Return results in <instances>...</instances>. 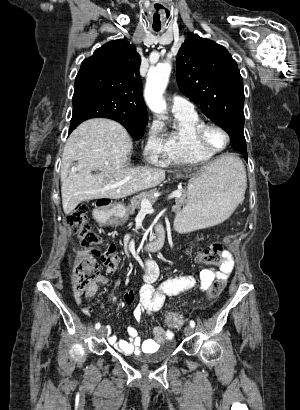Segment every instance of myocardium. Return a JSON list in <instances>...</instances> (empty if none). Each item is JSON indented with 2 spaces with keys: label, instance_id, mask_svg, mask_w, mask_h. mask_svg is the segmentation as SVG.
I'll list each match as a JSON object with an SVG mask.
<instances>
[{
  "label": "myocardium",
  "instance_id": "myocardium-1",
  "mask_svg": "<svg viewBox=\"0 0 300 410\" xmlns=\"http://www.w3.org/2000/svg\"><path fill=\"white\" fill-rule=\"evenodd\" d=\"M210 128H216L224 134V136L226 138V143L223 147L213 148L208 144L207 139H206V133H207L208 129H210ZM196 140H197V143L200 146V148H202L203 150L208 151V152L215 155L217 153H220V152L224 151L229 146L230 141H231V136H230L229 132L227 131V129L225 127H223L221 124L216 123V122H207V123H203L198 128L197 133H196Z\"/></svg>",
  "mask_w": 300,
  "mask_h": 410
}]
</instances>
